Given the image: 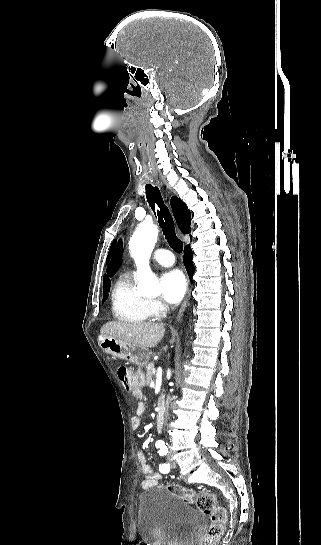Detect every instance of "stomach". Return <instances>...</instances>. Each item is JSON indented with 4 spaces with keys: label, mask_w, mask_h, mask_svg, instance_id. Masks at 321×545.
I'll list each match as a JSON object with an SVG mask.
<instances>
[{
    "label": "stomach",
    "mask_w": 321,
    "mask_h": 545,
    "mask_svg": "<svg viewBox=\"0 0 321 545\" xmlns=\"http://www.w3.org/2000/svg\"><path fill=\"white\" fill-rule=\"evenodd\" d=\"M97 341L103 353H108L115 359L129 361V363H134L138 367H145L149 363L150 353L147 349H141V347H136L131 343L119 341L115 337H103V335H99Z\"/></svg>",
    "instance_id": "0dacf381"
}]
</instances>
